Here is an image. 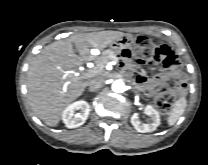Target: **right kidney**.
I'll list each match as a JSON object with an SVG mask.
<instances>
[{
	"label": "right kidney",
	"instance_id": "right-kidney-1",
	"mask_svg": "<svg viewBox=\"0 0 208 165\" xmlns=\"http://www.w3.org/2000/svg\"><path fill=\"white\" fill-rule=\"evenodd\" d=\"M80 110L79 112H77ZM90 105L86 101H76L65 108L62 120L66 127L76 128L83 125L89 116Z\"/></svg>",
	"mask_w": 208,
	"mask_h": 165
}]
</instances>
